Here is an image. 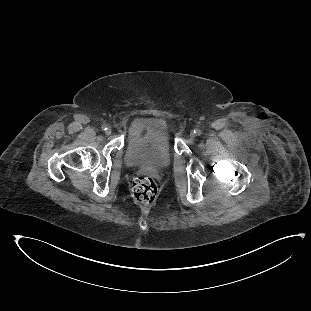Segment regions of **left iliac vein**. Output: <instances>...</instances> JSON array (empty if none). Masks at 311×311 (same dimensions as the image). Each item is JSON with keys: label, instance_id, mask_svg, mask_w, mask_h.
<instances>
[{"label": "left iliac vein", "instance_id": "left-iliac-vein-1", "mask_svg": "<svg viewBox=\"0 0 311 311\" xmlns=\"http://www.w3.org/2000/svg\"><path fill=\"white\" fill-rule=\"evenodd\" d=\"M196 137V134L194 133V131L190 132V139H194Z\"/></svg>", "mask_w": 311, "mask_h": 311}]
</instances>
